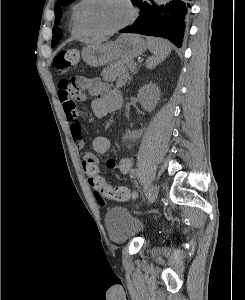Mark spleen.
Wrapping results in <instances>:
<instances>
[{"instance_id": "3e777b00", "label": "spleen", "mask_w": 245, "mask_h": 300, "mask_svg": "<svg viewBox=\"0 0 245 300\" xmlns=\"http://www.w3.org/2000/svg\"><path fill=\"white\" fill-rule=\"evenodd\" d=\"M147 45L149 50L153 53L152 57H149L146 61V67L148 69H153L159 63L164 61V59L171 53V44L160 38H147Z\"/></svg>"}]
</instances>
